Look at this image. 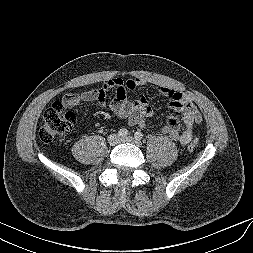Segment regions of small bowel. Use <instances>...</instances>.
Returning a JSON list of instances; mask_svg holds the SVG:
<instances>
[{
	"label": "small bowel",
	"instance_id": "1",
	"mask_svg": "<svg viewBox=\"0 0 253 253\" xmlns=\"http://www.w3.org/2000/svg\"><path fill=\"white\" fill-rule=\"evenodd\" d=\"M146 84L143 78L111 77L103 82L100 87L91 88L80 93H68L63 102L66 105L79 103H94L105 106L106 92L115 89V96L110 102V108L118 117L124 118L130 125L140 124L146 127V119L153 116V110L143 95H137L133 101L128 98V91L135 90ZM159 92L169 99V107L183 112L182 118L170 116L167 123L160 128V133L187 145L193 138V126L202 121V115L189 97L177 89L161 86Z\"/></svg>",
	"mask_w": 253,
	"mask_h": 253
}]
</instances>
